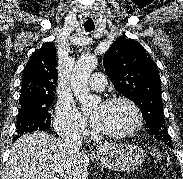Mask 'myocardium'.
<instances>
[{"instance_id": "f54148a6", "label": "myocardium", "mask_w": 183, "mask_h": 179, "mask_svg": "<svg viewBox=\"0 0 183 179\" xmlns=\"http://www.w3.org/2000/svg\"><path fill=\"white\" fill-rule=\"evenodd\" d=\"M120 102L126 103L132 108V110L135 114L134 125L131 128H129L128 130L118 132V133L99 131L101 135L108 137V138H112V139H121V138L129 137L141 129V127L143 125V114H142V111H141L140 107L138 106V104L131 98L126 97V96H114V97H110V98L106 99L103 104L112 105V104H116V103H120Z\"/></svg>"}]
</instances>
